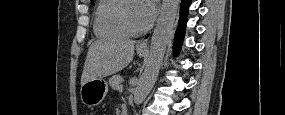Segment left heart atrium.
Masks as SVG:
<instances>
[{
	"mask_svg": "<svg viewBox=\"0 0 285 115\" xmlns=\"http://www.w3.org/2000/svg\"><path fill=\"white\" fill-rule=\"evenodd\" d=\"M156 10H157L156 0L140 1L139 3L140 18L144 26L149 25L153 21L156 15Z\"/></svg>",
	"mask_w": 285,
	"mask_h": 115,
	"instance_id": "left-heart-atrium-1",
	"label": "left heart atrium"
}]
</instances>
